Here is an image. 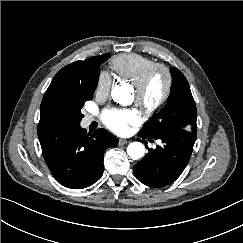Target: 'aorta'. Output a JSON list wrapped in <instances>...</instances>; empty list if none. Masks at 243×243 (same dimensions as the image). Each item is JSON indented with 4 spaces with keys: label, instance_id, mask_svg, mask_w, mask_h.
I'll return each mask as SVG.
<instances>
[{
    "label": "aorta",
    "instance_id": "762f6f07",
    "mask_svg": "<svg viewBox=\"0 0 243 243\" xmlns=\"http://www.w3.org/2000/svg\"><path fill=\"white\" fill-rule=\"evenodd\" d=\"M111 96L114 101L119 103H126L130 99V93L124 86H115L112 89ZM127 153L133 160H137L144 156L145 147L140 142H132L127 147Z\"/></svg>",
    "mask_w": 243,
    "mask_h": 243
}]
</instances>
